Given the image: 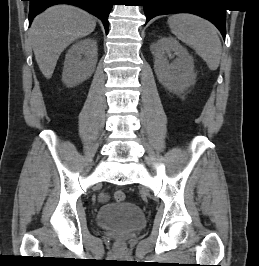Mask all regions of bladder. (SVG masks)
<instances>
[{
	"label": "bladder",
	"mask_w": 259,
	"mask_h": 266,
	"mask_svg": "<svg viewBox=\"0 0 259 266\" xmlns=\"http://www.w3.org/2000/svg\"><path fill=\"white\" fill-rule=\"evenodd\" d=\"M96 223L105 229L136 231L144 227L146 218L136 204L120 202L102 206L96 215Z\"/></svg>",
	"instance_id": "31cf9c89"
}]
</instances>
